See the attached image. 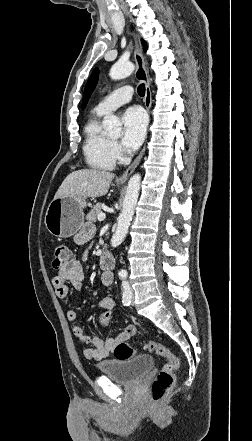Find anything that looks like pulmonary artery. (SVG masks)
I'll list each match as a JSON object with an SVG mask.
<instances>
[{"label":"pulmonary artery","mask_w":252,"mask_h":441,"mask_svg":"<svg viewBox=\"0 0 252 441\" xmlns=\"http://www.w3.org/2000/svg\"><path fill=\"white\" fill-rule=\"evenodd\" d=\"M133 88L123 86L104 98L95 108L102 114H108L132 99Z\"/></svg>","instance_id":"pulmonary-artery-1"}]
</instances>
